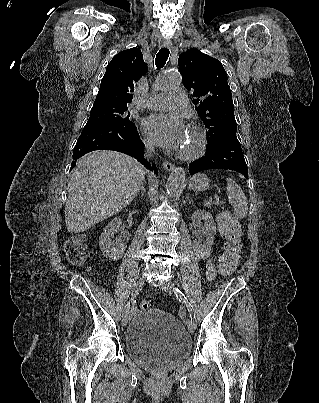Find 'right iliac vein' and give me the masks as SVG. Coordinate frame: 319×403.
Masks as SVG:
<instances>
[{"mask_svg":"<svg viewBox=\"0 0 319 403\" xmlns=\"http://www.w3.org/2000/svg\"><path fill=\"white\" fill-rule=\"evenodd\" d=\"M144 283H145L144 278H139L136 281V283H135V285L133 287V291H132V296L133 297H135L140 292V290L144 286ZM128 322H129V316H128V311H127V312L123 313L121 323L125 327V326H127Z\"/></svg>","mask_w":319,"mask_h":403,"instance_id":"63e3f726","label":"right iliac vein"}]
</instances>
